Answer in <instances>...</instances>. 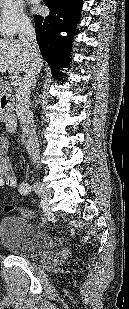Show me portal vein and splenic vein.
<instances>
[{"mask_svg":"<svg viewBox=\"0 0 129 309\" xmlns=\"http://www.w3.org/2000/svg\"><path fill=\"white\" fill-rule=\"evenodd\" d=\"M19 84V79H15V78H12V80H11V85L12 86H17Z\"/></svg>","mask_w":129,"mask_h":309,"instance_id":"portal-vein-and-splenic-vein-1","label":"portal vein and splenic vein"}]
</instances>
